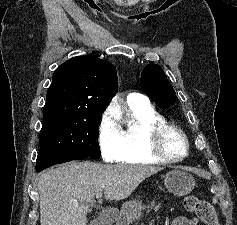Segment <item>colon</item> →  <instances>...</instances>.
I'll return each instance as SVG.
<instances>
[{"mask_svg":"<svg viewBox=\"0 0 237 225\" xmlns=\"http://www.w3.org/2000/svg\"><path fill=\"white\" fill-rule=\"evenodd\" d=\"M183 205L187 211L196 213L205 225H219L215 208L210 202L199 200L190 195L184 197Z\"/></svg>","mask_w":237,"mask_h":225,"instance_id":"colon-1","label":"colon"}]
</instances>
